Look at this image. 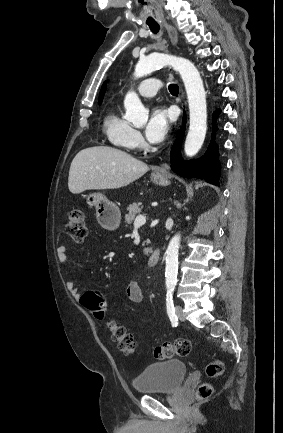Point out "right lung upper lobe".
Instances as JSON below:
<instances>
[{
	"instance_id": "obj_1",
	"label": "right lung upper lobe",
	"mask_w": 283,
	"mask_h": 433,
	"mask_svg": "<svg viewBox=\"0 0 283 433\" xmlns=\"http://www.w3.org/2000/svg\"><path fill=\"white\" fill-rule=\"evenodd\" d=\"M105 88H106V84L104 83L102 85L101 91H100V95H99V104H101L103 97H104V93H105Z\"/></svg>"
}]
</instances>
